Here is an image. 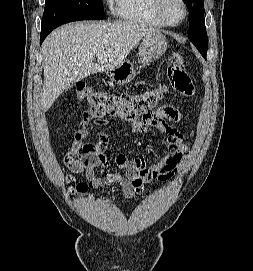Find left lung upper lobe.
Segmentation results:
<instances>
[{
	"label": "left lung upper lobe",
	"mask_w": 253,
	"mask_h": 271,
	"mask_svg": "<svg viewBox=\"0 0 253 271\" xmlns=\"http://www.w3.org/2000/svg\"><path fill=\"white\" fill-rule=\"evenodd\" d=\"M189 11V40L206 58L208 40L204 21V0H184Z\"/></svg>",
	"instance_id": "5c2ea615"
}]
</instances>
